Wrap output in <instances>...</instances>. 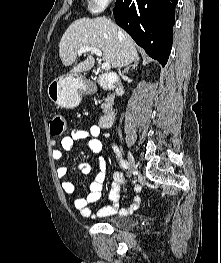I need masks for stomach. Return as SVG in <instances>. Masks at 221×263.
<instances>
[{
	"label": "stomach",
	"mask_w": 221,
	"mask_h": 263,
	"mask_svg": "<svg viewBox=\"0 0 221 263\" xmlns=\"http://www.w3.org/2000/svg\"><path fill=\"white\" fill-rule=\"evenodd\" d=\"M89 90L87 81L77 73H68L51 81L47 88L48 97L58 106L75 108L81 101V93Z\"/></svg>",
	"instance_id": "obj_1"
}]
</instances>
